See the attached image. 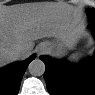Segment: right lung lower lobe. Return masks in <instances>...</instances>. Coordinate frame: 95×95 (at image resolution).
I'll return each mask as SVG.
<instances>
[{"instance_id":"1","label":"right lung lower lobe","mask_w":95,"mask_h":95,"mask_svg":"<svg viewBox=\"0 0 95 95\" xmlns=\"http://www.w3.org/2000/svg\"><path fill=\"white\" fill-rule=\"evenodd\" d=\"M34 58L35 56L32 55L24 62H16L0 70V84L6 94L15 95L18 93L25 70Z\"/></svg>"}]
</instances>
